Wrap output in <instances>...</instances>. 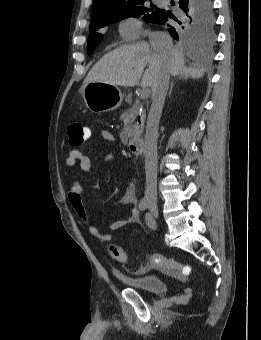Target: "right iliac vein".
<instances>
[{
	"label": "right iliac vein",
	"mask_w": 261,
	"mask_h": 340,
	"mask_svg": "<svg viewBox=\"0 0 261 340\" xmlns=\"http://www.w3.org/2000/svg\"><path fill=\"white\" fill-rule=\"evenodd\" d=\"M147 202H148V205H149V207H150V209L152 211H156L157 210V206H156V204L153 201L148 200Z\"/></svg>",
	"instance_id": "1"
}]
</instances>
